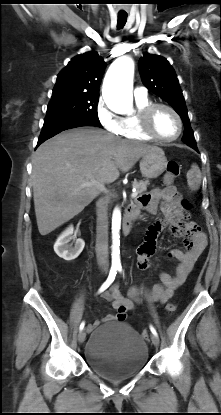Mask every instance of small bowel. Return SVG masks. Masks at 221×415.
Listing matches in <instances>:
<instances>
[{
  "instance_id": "c3829d8e",
  "label": "small bowel",
  "mask_w": 221,
  "mask_h": 415,
  "mask_svg": "<svg viewBox=\"0 0 221 415\" xmlns=\"http://www.w3.org/2000/svg\"><path fill=\"white\" fill-rule=\"evenodd\" d=\"M133 206L138 211L144 209L151 214H155L160 208L164 213V219L154 222L147 228L144 241L137 249L139 269L146 270L152 267L150 257L155 253L158 236L167 226L172 235L185 239L187 249L171 251V255L178 260L175 274L160 272V283L154 285L150 291L133 286L129 291V297H126L121 293L118 283L105 289L102 297L111 302L116 313H109L102 319L94 321L88 326L89 330L102 323L114 320L123 321L126 311L134 309L143 296H147L152 301L166 303L173 296L174 291L184 283L207 245L206 236L199 231L198 226L186 221L190 216L189 209L185 207L184 201H181V196L174 186L157 188L142 194Z\"/></svg>"
}]
</instances>
